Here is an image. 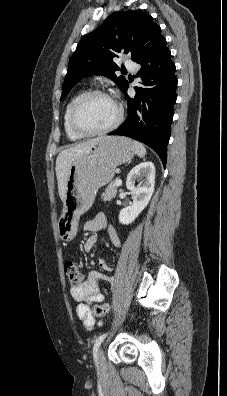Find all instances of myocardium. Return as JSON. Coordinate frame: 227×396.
Here are the masks:
<instances>
[{
    "label": "myocardium",
    "instance_id": "obj_1",
    "mask_svg": "<svg viewBox=\"0 0 227 396\" xmlns=\"http://www.w3.org/2000/svg\"><path fill=\"white\" fill-rule=\"evenodd\" d=\"M95 95L104 96V97L111 99L117 106L118 114H117L116 119L109 126L103 128V129H99V130H88V129L84 128L79 123L78 112H79V109H80L82 103L87 98H89L91 96H95ZM123 118H124V110H123L122 106L120 104H118L107 92L100 90V89H90V90H87V91H84L83 93H81L74 101V103L71 107V111H70L71 127L75 132H77L78 134H80L82 136H98V135L107 134V133L113 131L114 129H116L123 121Z\"/></svg>",
    "mask_w": 227,
    "mask_h": 396
}]
</instances>
